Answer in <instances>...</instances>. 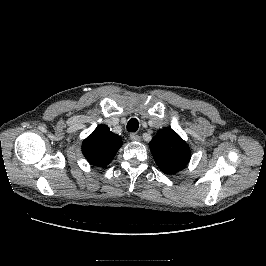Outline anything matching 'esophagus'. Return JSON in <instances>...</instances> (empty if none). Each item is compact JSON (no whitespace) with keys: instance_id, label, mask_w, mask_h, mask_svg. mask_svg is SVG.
Instances as JSON below:
<instances>
[{"instance_id":"esophagus-1","label":"esophagus","mask_w":266,"mask_h":266,"mask_svg":"<svg viewBox=\"0 0 266 266\" xmlns=\"http://www.w3.org/2000/svg\"><path fill=\"white\" fill-rule=\"evenodd\" d=\"M130 139L132 140V141H135V142H138V141H140V136L139 135H137V134H135V133H131L130 134Z\"/></svg>"}]
</instances>
